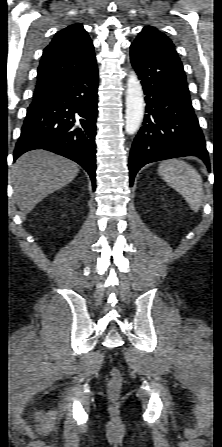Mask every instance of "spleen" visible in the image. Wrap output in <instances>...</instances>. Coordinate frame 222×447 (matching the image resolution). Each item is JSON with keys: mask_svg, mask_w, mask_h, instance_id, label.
I'll list each match as a JSON object with an SVG mask.
<instances>
[{"mask_svg": "<svg viewBox=\"0 0 222 447\" xmlns=\"http://www.w3.org/2000/svg\"><path fill=\"white\" fill-rule=\"evenodd\" d=\"M158 173L194 212L199 211L203 198L202 178L192 166L179 159H170L160 163Z\"/></svg>", "mask_w": 222, "mask_h": 447, "instance_id": "1", "label": "spleen"}]
</instances>
